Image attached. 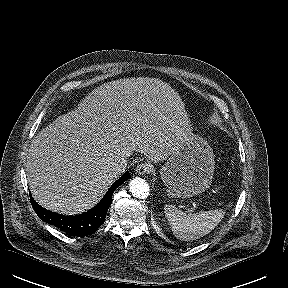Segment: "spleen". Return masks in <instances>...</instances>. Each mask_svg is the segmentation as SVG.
<instances>
[{
  "mask_svg": "<svg viewBox=\"0 0 288 288\" xmlns=\"http://www.w3.org/2000/svg\"><path fill=\"white\" fill-rule=\"evenodd\" d=\"M164 210L173 234L183 241L195 240L207 235L225 215L222 209L186 214L173 205H166Z\"/></svg>",
  "mask_w": 288,
  "mask_h": 288,
  "instance_id": "obj_1",
  "label": "spleen"
}]
</instances>
